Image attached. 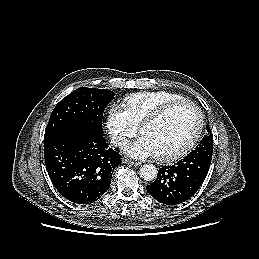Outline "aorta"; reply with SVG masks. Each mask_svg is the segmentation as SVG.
Returning <instances> with one entry per match:
<instances>
[{"instance_id": "762f6f07", "label": "aorta", "mask_w": 259, "mask_h": 259, "mask_svg": "<svg viewBox=\"0 0 259 259\" xmlns=\"http://www.w3.org/2000/svg\"><path fill=\"white\" fill-rule=\"evenodd\" d=\"M157 168L153 164H144L140 168V176L146 181H151L157 176Z\"/></svg>"}]
</instances>
